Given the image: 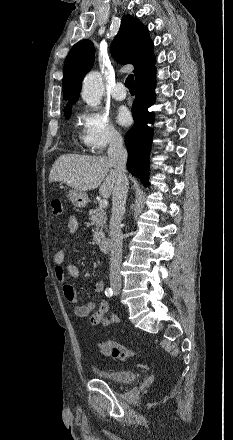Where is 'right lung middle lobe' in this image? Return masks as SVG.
<instances>
[{"label":"right lung middle lobe","instance_id":"obj_1","mask_svg":"<svg viewBox=\"0 0 233 440\" xmlns=\"http://www.w3.org/2000/svg\"><path fill=\"white\" fill-rule=\"evenodd\" d=\"M71 108H72V106H69L68 108H66V109L64 110V115H65V118H66V119H69L70 116H71Z\"/></svg>","mask_w":233,"mask_h":440}]
</instances>
